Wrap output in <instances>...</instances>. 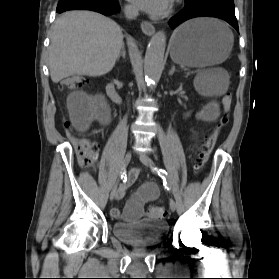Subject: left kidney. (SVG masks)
<instances>
[{
  "instance_id": "5707ae66",
  "label": "left kidney",
  "mask_w": 279,
  "mask_h": 279,
  "mask_svg": "<svg viewBox=\"0 0 279 279\" xmlns=\"http://www.w3.org/2000/svg\"><path fill=\"white\" fill-rule=\"evenodd\" d=\"M190 114L188 113L186 116L188 117Z\"/></svg>"
}]
</instances>
